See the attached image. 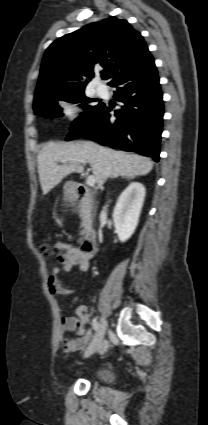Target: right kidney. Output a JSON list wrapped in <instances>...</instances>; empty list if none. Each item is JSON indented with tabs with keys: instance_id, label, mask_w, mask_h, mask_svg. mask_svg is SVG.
I'll use <instances>...</instances> for the list:
<instances>
[{
	"instance_id": "ca27d5eb",
	"label": "right kidney",
	"mask_w": 208,
	"mask_h": 425,
	"mask_svg": "<svg viewBox=\"0 0 208 425\" xmlns=\"http://www.w3.org/2000/svg\"><path fill=\"white\" fill-rule=\"evenodd\" d=\"M146 189L139 182H132L119 196L114 211L113 221L121 242L128 240L138 225Z\"/></svg>"
}]
</instances>
